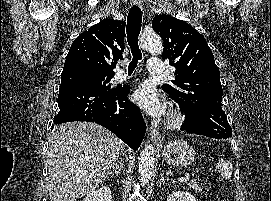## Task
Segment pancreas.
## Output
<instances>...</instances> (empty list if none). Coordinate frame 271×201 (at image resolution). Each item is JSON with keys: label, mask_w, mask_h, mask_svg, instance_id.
Segmentation results:
<instances>
[{"label": "pancreas", "mask_w": 271, "mask_h": 201, "mask_svg": "<svg viewBox=\"0 0 271 201\" xmlns=\"http://www.w3.org/2000/svg\"><path fill=\"white\" fill-rule=\"evenodd\" d=\"M188 187L196 192L202 191V189L199 187L198 183L195 180L188 182Z\"/></svg>", "instance_id": "1"}]
</instances>
